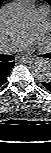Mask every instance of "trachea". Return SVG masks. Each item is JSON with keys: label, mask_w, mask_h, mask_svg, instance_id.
I'll list each match as a JSON object with an SVG mask.
<instances>
[{"label": "trachea", "mask_w": 51, "mask_h": 153, "mask_svg": "<svg viewBox=\"0 0 51 153\" xmlns=\"http://www.w3.org/2000/svg\"><path fill=\"white\" fill-rule=\"evenodd\" d=\"M12 60H14V57L12 55H4V54L0 55V61L2 62H9Z\"/></svg>", "instance_id": "trachea-1"}]
</instances>
